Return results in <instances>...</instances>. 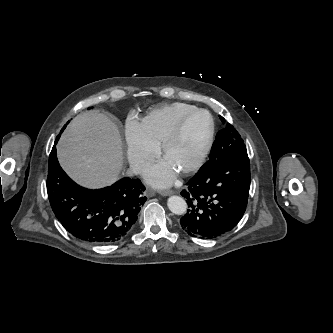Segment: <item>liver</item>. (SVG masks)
<instances>
[{
  "instance_id": "obj_1",
  "label": "liver",
  "mask_w": 333,
  "mask_h": 333,
  "mask_svg": "<svg viewBox=\"0 0 333 333\" xmlns=\"http://www.w3.org/2000/svg\"><path fill=\"white\" fill-rule=\"evenodd\" d=\"M57 153L68 176L88 188L112 184L123 163L118 128L98 112H85L74 118L59 140Z\"/></svg>"
}]
</instances>
